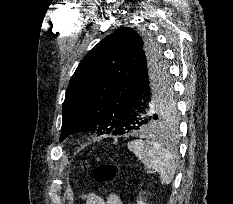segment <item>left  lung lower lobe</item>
Here are the masks:
<instances>
[{
  "label": "left lung lower lobe",
  "instance_id": "0a47b994",
  "mask_svg": "<svg viewBox=\"0 0 233 204\" xmlns=\"http://www.w3.org/2000/svg\"><path fill=\"white\" fill-rule=\"evenodd\" d=\"M170 83L161 56H140L116 113L115 123L123 128L124 134L137 130L161 132L156 127L154 110Z\"/></svg>",
  "mask_w": 233,
  "mask_h": 204
}]
</instances>
